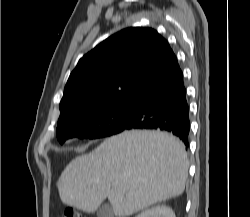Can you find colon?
Returning <instances> with one entry per match:
<instances>
[{
	"label": "colon",
	"instance_id": "1",
	"mask_svg": "<svg viewBox=\"0 0 250 217\" xmlns=\"http://www.w3.org/2000/svg\"><path fill=\"white\" fill-rule=\"evenodd\" d=\"M62 217H78V215L73 210H66Z\"/></svg>",
	"mask_w": 250,
	"mask_h": 217
}]
</instances>
